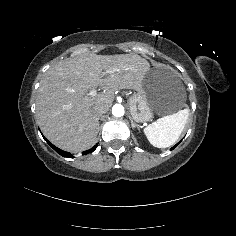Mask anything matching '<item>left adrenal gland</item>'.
Listing matches in <instances>:
<instances>
[{"mask_svg":"<svg viewBox=\"0 0 236 236\" xmlns=\"http://www.w3.org/2000/svg\"><path fill=\"white\" fill-rule=\"evenodd\" d=\"M131 127L133 128L135 125H137L136 122L133 121V119L130 117Z\"/></svg>","mask_w":236,"mask_h":236,"instance_id":"1","label":"left adrenal gland"}]
</instances>
